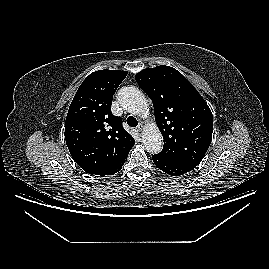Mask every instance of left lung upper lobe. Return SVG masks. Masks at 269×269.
<instances>
[{
    "mask_svg": "<svg viewBox=\"0 0 269 269\" xmlns=\"http://www.w3.org/2000/svg\"><path fill=\"white\" fill-rule=\"evenodd\" d=\"M152 99L155 121L164 139L158 156L197 166L207 152L213 130L210 108L193 85L176 69L157 66L135 75Z\"/></svg>",
    "mask_w": 269,
    "mask_h": 269,
    "instance_id": "left-lung-upper-lobe-1",
    "label": "left lung upper lobe"
}]
</instances>
